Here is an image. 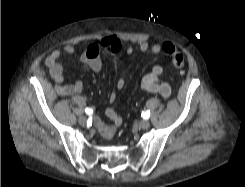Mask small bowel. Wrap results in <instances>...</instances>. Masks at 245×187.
<instances>
[{
    "instance_id": "1",
    "label": "small bowel",
    "mask_w": 245,
    "mask_h": 187,
    "mask_svg": "<svg viewBox=\"0 0 245 187\" xmlns=\"http://www.w3.org/2000/svg\"><path fill=\"white\" fill-rule=\"evenodd\" d=\"M166 43L160 44L155 43L152 46L149 45L147 41H141L138 46V51L144 53L150 51L152 54H158L164 52L163 46ZM171 44V43H170ZM121 42L113 35H108L104 37L100 42L90 44L85 50H83L79 59L81 62L86 64L93 72L98 73L102 69V61L100 58V53L102 50H107L112 53H119L122 51ZM127 54H133L134 49L132 47L126 48ZM66 54L73 56L75 54V47L72 44H67L62 50H54L45 59V65L49 70L50 76L56 83L55 91L60 96H77L83 91V83L81 81L72 82L69 84H64V72L63 66L60 62L62 56ZM164 69L161 65H154L150 69L140 82V88L145 92L157 93L164 98L171 95V87L167 82L162 81V75ZM116 86L119 90L123 89L125 86V80L119 78ZM116 95L111 94L109 100L111 102L115 101ZM107 119L111 124H106L99 116L94 117V122L98 129L100 130L102 136L106 139L112 138L116 133V128L121 125V117L111 108L105 111Z\"/></svg>"
}]
</instances>
